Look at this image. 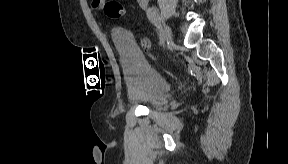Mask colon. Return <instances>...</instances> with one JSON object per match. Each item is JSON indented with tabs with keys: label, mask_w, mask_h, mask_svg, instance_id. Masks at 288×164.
Segmentation results:
<instances>
[{
	"label": "colon",
	"mask_w": 288,
	"mask_h": 164,
	"mask_svg": "<svg viewBox=\"0 0 288 164\" xmlns=\"http://www.w3.org/2000/svg\"><path fill=\"white\" fill-rule=\"evenodd\" d=\"M104 9L106 15L112 19H116L125 13L124 7L117 1L108 2ZM141 43L146 48L143 49V52H146V55H152L153 53L149 52V48L153 46V43H150L145 37L141 38Z\"/></svg>",
	"instance_id": "colon-1"
}]
</instances>
